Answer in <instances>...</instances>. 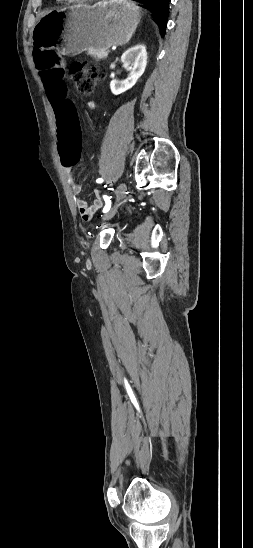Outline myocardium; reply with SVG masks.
<instances>
[{"label": "myocardium", "instance_id": "f54148a6", "mask_svg": "<svg viewBox=\"0 0 253 548\" xmlns=\"http://www.w3.org/2000/svg\"><path fill=\"white\" fill-rule=\"evenodd\" d=\"M67 2H86V1H94V0H63Z\"/></svg>", "mask_w": 253, "mask_h": 548}]
</instances>
